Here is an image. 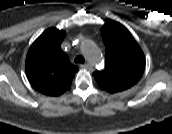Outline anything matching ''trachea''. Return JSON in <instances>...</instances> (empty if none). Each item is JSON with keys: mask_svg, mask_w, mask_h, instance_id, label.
I'll use <instances>...</instances> for the list:
<instances>
[{"mask_svg": "<svg viewBox=\"0 0 172 134\" xmlns=\"http://www.w3.org/2000/svg\"><path fill=\"white\" fill-rule=\"evenodd\" d=\"M75 63H84L85 62V59H84V57L83 56H81V55H77L76 57H75Z\"/></svg>", "mask_w": 172, "mask_h": 134, "instance_id": "1", "label": "trachea"}]
</instances>
